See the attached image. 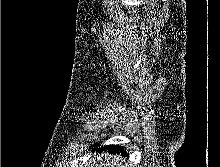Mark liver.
I'll return each instance as SVG.
<instances>
[{"mask_svg": "<svg viewBox=\"0 0 220 167\" xmlns=\"http://www.w3.org/2000/svg\"><path fill=\"white\" fill-rule=\"evenodd\" d=\"M85 167H128V163L120 156L102 153L90 158Z\"/></svg>", "mask_w": 220, "mask_h": 167, "instance_id": "1", "label": "liver"}]
</instances>
